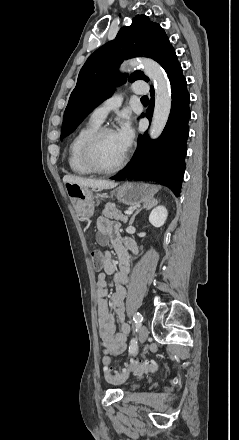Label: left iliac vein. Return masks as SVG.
<instances>
[{"instance_id": "left-iliac-vein-1", "label": "left iliac vein", "mask_w": 239, "mask_h": 440, "mask_svg": "<svg viewBox=\"0 0 239 440\" xmlns=\"http://www.w3.org/2000/svg\"><path fill=\"white\" fill-rule=\"evenodd\" d=\"M148 337V329L145 325H142L139 331V341L144 343Z\"/></svg>"}]
</instances>
